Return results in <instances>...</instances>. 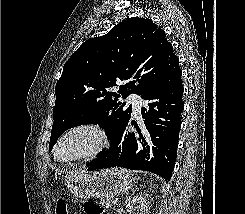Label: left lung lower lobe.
Segmentation results:
<instances>
[{
	"label": "left lung lower lobe",
	"instance_id": "left-lung-lower-lobe-1",
	"mask_svg": "<svg viewBox=\"0 0 245 214\" xmlns=\"http://www.w3.org/2000/svg\"><path fill=\"white\" fill-rule=\"evenodd\" d=\"M182 71L179 63L153 89L141 98L148 100V108H142V129L130 133L123 126L108 151L98 154L88 170L107 167H123L131 170L153 172L170 180L176 161L181 127Z\"/></svg>",
	"mask_w": 245,
	"mask_h": 214
}]
</instances>
